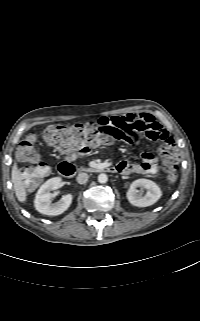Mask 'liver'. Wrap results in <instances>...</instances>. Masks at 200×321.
I'll return each instance as SVG.
<instances>
[{
	"mask_svg": "<svg viewBox=\"0 0 200 321\" xmlns=\"http://www.w3.org/2000/svg\"><path fill=\"white\" fill-rule=\"evenodd\" d=\"M11 178L18 201L24 203L27 199V192L23 182V177L18 170L17 163L13 164Z\"/></svg>",
	"mask_w": 200,
	"mask_h": 321,
	"instance_id": "1",
	"label": "liver"
}]
</instances>
